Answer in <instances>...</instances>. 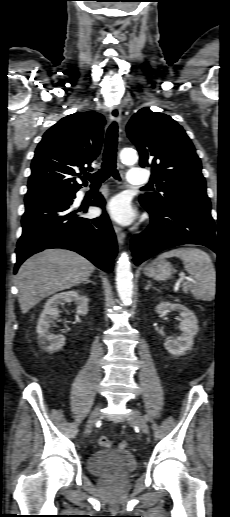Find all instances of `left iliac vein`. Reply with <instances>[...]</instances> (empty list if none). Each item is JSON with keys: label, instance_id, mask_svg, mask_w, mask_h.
<instances>
[{"label": "left iliac vein", "instance_id": "obj_1", "mask_svg": "<svg viewBox=\"0 0 230 517\" xmlns=\"http://www.w3.org/2000/svg\"><path fill=\"white\" fill-rule=\"evenodd\" d=\"M130 421L136 424L143 434L148 433V425L143 414L136 408L132 409L130 413Z\"/></svg>", "mask_w": 230, "mask_h": 517}]
</instances>
